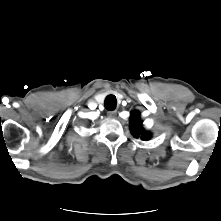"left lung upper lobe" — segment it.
I'll return each mask as SVG.
<instances>
[{
    "instance_id": "obj_1",
    "label": "left lung upper lobe",
    "mask_w": 221,
    "mask_h": 221,
    "mask_svg": "<svg viewBox=\"0 0 221 221\" xmlns=\"http://www.w3.org/2000/svg\"><path fill=\"white\" fill-rule=\"evenodd\" d=\"M130 127L134 137H141L143 140H149L151 134L144 131L142 121L139 118V112L133 111L130 117Z\"/></svg>"
}]
</instances>
